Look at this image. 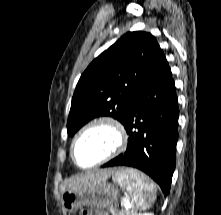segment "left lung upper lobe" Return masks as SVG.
<instances>
[{
	"instance_id": "left-lung-upper-lobe-1",
	"label": "left lung upper lobe",
	"mask_w": 221,
	"mask_h": 215,
	"mask_svg": "<svg viewBox=\"0 0 221 215\" xmlns=\"http://www.w3.org/2000/svg\"><path fill=\"white\" fill-rule=\"evenodd\" d=\"M161 52L156 38L147 32H128L87 67L76 86L67 121L73 136L98 116L121 123L127 104L139 89Z\"/></svg>"
}]
</instances>
